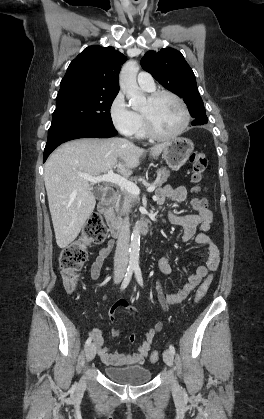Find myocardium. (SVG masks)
<instances>
[{
    "instance_id": "1",
    "label": "myocardium",
    "mask_w": 264,
    "mask_h": 419,
    "mask_svg": "<svg viewBox=\"0 0 264 419\" xmlns=\"http://www.w3.org/2000/svg\"><path fill=\"white\" fill-rule=\"evenodd\" d=\"M164 95L170 96L177 101L182 109L184 118L181 127L175 133L163 135L156 130L151 115L147 111H142L147 135L157 141H171L176 139L185 132L190 123V112L188 107L184 100L175 92L166 89L155 90L149 94L148 101L150 103H154L157 99Z\"/></svg>"
}]
</instances>
